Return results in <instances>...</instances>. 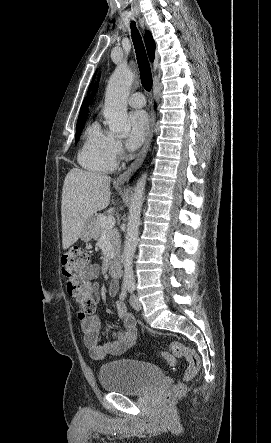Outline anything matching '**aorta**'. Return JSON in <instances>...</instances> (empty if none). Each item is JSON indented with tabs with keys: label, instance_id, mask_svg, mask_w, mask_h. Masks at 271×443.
Masks as SVG:
<instances>
[{
	"label": "aorta",
	"instance_id": "1",
	"mask_svg": "<svg viewBox=\"0 0 271 443\" xmlns=\"http://www.w3.org/2000/svg\"><path fill=\"white\" fill-rule=\"evenodd\" d=\"M134 74L125 66L115 68L106 88L104 118L111 132L125 134L131 126L127 114V100L133 84ZM147 174L138 180L131 204L129 206L128 222L126 227L124 255V281L134 283L133 257L138 243L141 208L144 202Z\"/></svg>",
	"mask_w": 271,
	"mask_h": 443
}]
</instances>
